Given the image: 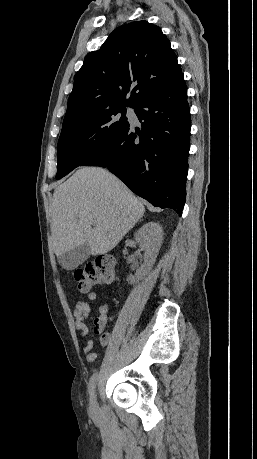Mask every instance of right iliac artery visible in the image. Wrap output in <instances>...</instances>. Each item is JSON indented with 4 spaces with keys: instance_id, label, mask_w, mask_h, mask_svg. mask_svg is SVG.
Here are the masks:
<instances>
[{
    "instance_id": "1",
    "label": "right iliac artery",
    "mask_w": 257,
    "mask_h": 459,
    "mask_svg": "<svg viewBox=\"0 0 257 459\" xmlns=\"http://www.w3.org/2000/svg\"><path fill=\"white\" fill-rule=\"evenodd\" d=\"M97 380H98V373H94L91 378H90V381H89V385H88V388H89V393L92 394L94 389H95V386H96V383H97Z\"/></svg>"
}]
</instances>
